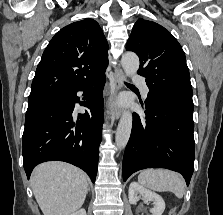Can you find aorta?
<instances>
[{
	"instance_id": "1",
	"label": "aorta",
	"mask_w": 223,
	"mask_h": 215,
	"mask_svg": "<svg viewBox=\"0 0 223 215\" xmlns=\"http://www.w3.org/2000/svg\"><path fill=\"white\" fill-rule=\"evenodd\" d=\"M122 68L126 76H132L139 68V58L134 52H126L121 58ZM132 113L131 111H123L118 127L116 129L115 141L117 147H125L131 133Z\"/></svg>"
}]
</instances>
